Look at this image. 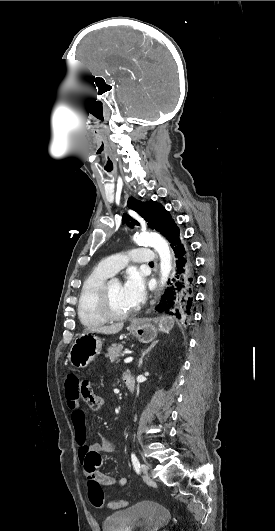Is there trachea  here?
<instances>
[{
    "label": "trachea",
    "mask_w": 275,
    "mask_h": 531,
    "mask_svg": "<svg viewBox=\"0 0 275 531\" xmlns=\"http://www.w3.org/2000/svg\"><path fill=\"white\" fill-rule=\"evenodd\" d=\"M149 265H150V266H154V263L151 261V262L149 263Z\"/></svg>",
    "instance_id": "trachea-1"
}]
</instances>
